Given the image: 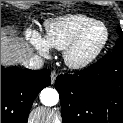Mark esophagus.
<instances>
[{
  "label": "esophagus",
  "mask_w": 123,
  "mask_h": 123,
  "mask_svg": "<svg viewBox=\"0 0 123 123\" xmlns=\"http://www.w3.org/2000/svg\"><path fill=\"white\" fill-rule=\"evenodd\" d=\"M51 77V83L54 84L56 78H57V73L55 71H52L50 74Z\"/></svg>",
  "instance_id": "1"
}]
</instances>
